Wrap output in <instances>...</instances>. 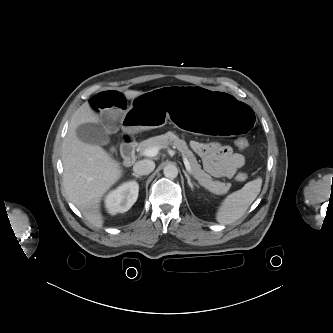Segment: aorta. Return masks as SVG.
<instances>
[{"label": "aorta", "instance_id": "aorta-1", "mask_svg": "<svg viewBox=\"0 0 333 333\" xmlns=\"http://www.w3.org/2000/svg\"><path fill=\"white\" fill-rule=\"evenodd\" d=\"M164 176L169 179H174L178 176V168L173 164H168L163 169Z\"/></svg>", "mask_w": 333, "mask_h": 333}]
</instances>
